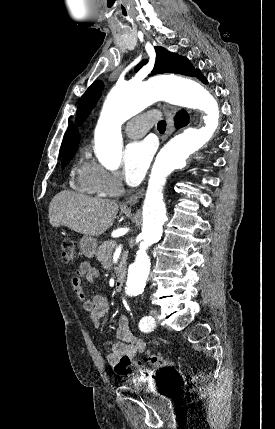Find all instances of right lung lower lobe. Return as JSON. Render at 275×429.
Here are the masks:
<instances>
[{"instance_id": "98d812e1", "label": "right lung lower lobe", "mask_w": 275, "mask_h": 429, "mask_svg": "<svg viewBox=\"0 0 275 429\" xmlns=\"http://www.w3.org/2000/svg\"><path fill=\"white\" fill-rule=\"evenodd\" d=\"M188 119V114L185 111H180L175 118L176 127H182L186 125L188 123Z\"/></svg>"}]
</instances>
